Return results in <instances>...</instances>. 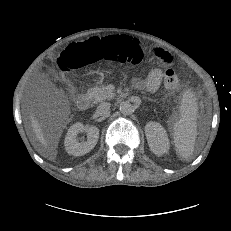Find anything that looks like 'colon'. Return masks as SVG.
Here are the masks:
<instances>
[{"instance_id": "5ec220e1", "label": "colon", "mask_w": 231, "mask_h": 231, "mask_svg": "<svg viewBox=\"0 0 231 231\" xmlns=\"http://www.w3.org/2000/svg\"><path fill=\"white\" fill-rule=\"evenodd\" d=\"M100 60L138 65L144 62V54L137 39L128 35L108 36L68 46L53 60V65L59 71L68 73ZM164 84L170 90L177 89L180 85L179 74L172 68L167 69Z\"/></svg>"}]
</instances>
